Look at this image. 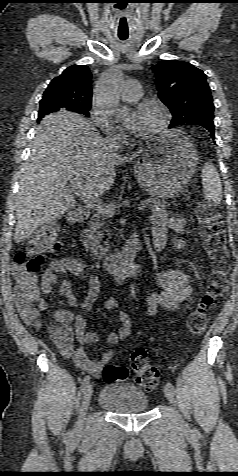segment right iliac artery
<instances>
[{"instance_id": "right-iliac-artery-1", "label": "right iliac artery", "mask_w": 238, "mask_h": 476, "mask_svg": "<svg viewBox=\"0 0 238 476\" xmlns=\"http://www.w3.org/2000/svg\"><path fill=\"white\" fill-rule=\"evenodd\" d=\"M89 380H90V377L89 376H85L83 381H82V385H81V392L85 391L86 387L88 386L89 384ZM70 435L71 433L68 432L67 435H66V439L68 440L70 438Z\"/></svg>"}]
</instances>
